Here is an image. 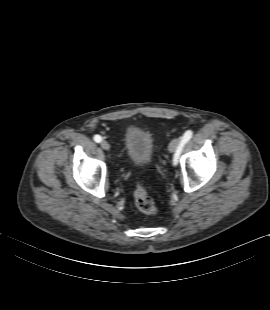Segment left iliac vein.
Listing matches in <instances>:
<instances>
[{
  "label": "left iliac vein",
  "mask_w": 270,
  "mask_h": 310,
  "mask_svg": "<svg viewBox=\"0 0 270 310\" xmlns=\"http://www.w3.org/2000/svg\"><path fill=\"white\" fill-rule=\"evenodd\" d=\"M181 140H182L181 138L173 139L168 146L169 152L171 153L175 152L177 148L179 147V145L181 144Z\"/></svg>",
  "instance_id": "obj_1"
}]
</instances>
